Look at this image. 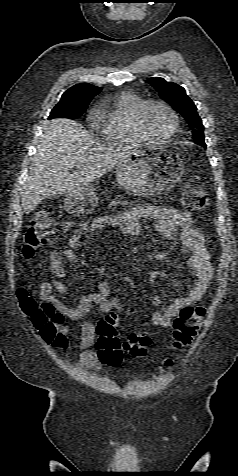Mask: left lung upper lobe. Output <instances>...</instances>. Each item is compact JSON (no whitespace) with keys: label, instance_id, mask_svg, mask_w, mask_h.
Masks as SVG:
<instances>
[{"label":"left lung upper lobe","instance_id":"1","mask_svg":"<svg viewBox=\"0 0 238 476\" xmlns=\"http://www.w3.org/2000/svg\"><path fill=\"white\" fill-rule=\"evenodd\" d=\"M149 83L162 99L168 102L189 122L194 142L206 147L203 134L204 126L194 102L186 95L185 89L176 83L167 82L160 77L150 78Z\"/></svg>","mask_w":238,"mask_h":476}]
</instances>
